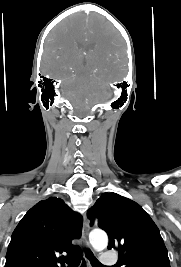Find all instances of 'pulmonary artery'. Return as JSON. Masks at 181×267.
I'll return each instance as SVG.
<instances>
[{
  "label": "pulmonary artery",
  "instance_id": "e3ab8cb5",
  "mask_svg": "<svg viewBox=\"0 0 181 267\" xmlns=\"http://www.w3.org/2000/svg\"><path fill=\"white\" fill-rule=\"evenodd\" d=\"M101 263L105 266L113 265L115 263V258L108 253H104L101 256Z\"/></svg>",
  "mask_w": 181,
  "mask_h": 267
}]
</instances>
